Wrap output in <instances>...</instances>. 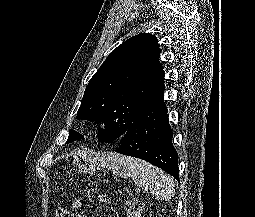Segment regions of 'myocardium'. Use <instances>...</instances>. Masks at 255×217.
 <instances>
[{"mask_svg":"<svg viewBox=\"0 0 255 217\" xmlns=\"http://www.w3.org/2000/svg\"><path fill=\"white\" fill-rule=\"evenodd\" d=\"M94 124L98 127H104L107 125L106 122H104L103 120H95Z\"/></svg>","mask_w":255,"mask_h":217,"instance_id":"obj_1","label":"myocardium"}]
</instances>
